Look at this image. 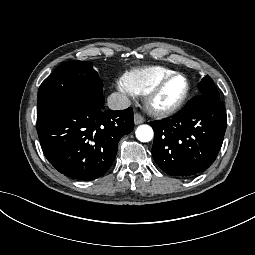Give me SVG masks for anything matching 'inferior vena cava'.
Listing matches in <instances>:
<instances>
[{
	"label": "inferior vena cava",
	"instance_id": "inferior-vena-cava-1",
	"mask_svg": "<svg viewBox=\"0 0 255 255\" xmlns=\"http://www.w3.org/2000/svg\"><path fill=\"white\" fill-rule=\"evenodd\" d=\"M130 105V99L121 93H113L108 97V106L112 110H124Z\"/></svg>",
	"mask_w": 255,
	"mask_h": 255
}]
</instances>
